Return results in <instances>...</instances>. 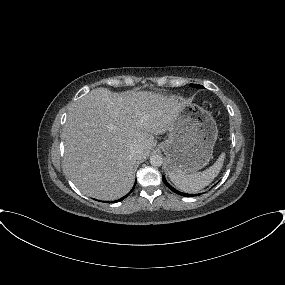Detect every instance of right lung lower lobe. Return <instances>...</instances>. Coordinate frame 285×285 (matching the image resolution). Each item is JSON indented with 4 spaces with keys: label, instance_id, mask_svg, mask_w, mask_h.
Segmentation results:
<instances>
[{
    "label": "right lung lower lobe",
    "instance_id": "right-lung-lower-lobe-1",
    "mask_svg": "<svg viewBox=\"0 0 285 285\" xmlns=\"http://www.w3.org/2000/svg\"><path fill=\"white\" fill-rule=\"evenodd\" d=\"M137 182V181H136ZM136 182H135V185H136ZM133 189H134V187H133ZM133 189L130 191V193L133 191ZM128 195V194H127ZM127 195L126 196H124V197H122V198H120L119 200H116L115 202H119V201H121V200H123L124 198H126L127 197Z\"/></svg>",
    "mask_w": 285,
    "mask_h": 285
}]
</instances>
